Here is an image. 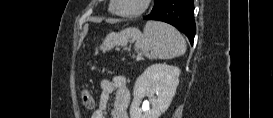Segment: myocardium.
<instances>
[{"mask_svg": "<svg viewBox=\"0 0 273 118\" xmlns=\"http://www.w3.org/2000/svg\"><path fill=\"white\" fill-rule=\"evenodd\" d=\"M117 2H118V0H112V2H111L112 12L120 17L132 18V17H136V16L143 14L147 10L151 0H143L142 6L138 10L133 11V12H121V11L117 10Z\"/></svg>", "mask_w": 273, "mask_h": 118, "instance_id": "myocardium-1", "label": "myocardium"}]
</instances>
